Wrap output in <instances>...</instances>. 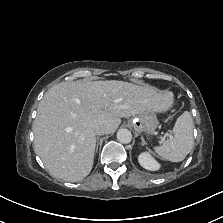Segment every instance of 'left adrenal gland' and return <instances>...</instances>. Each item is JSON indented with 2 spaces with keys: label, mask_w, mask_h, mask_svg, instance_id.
Returning a JSON list of instances; mask_svg holds the SVG:
<instances>
[{
  "label": "left adrenal gland",
  "mask_w": 223,
  "mask_h": 223,
  "mask_svg": "<svg viewBox=\"0 0 223 223\" xmlns=\"http://www.w3.org/2000/svg\"><path fill=\"white\" fill-rule=\"evenodd\" d=\"M141 140H142V145H146L147 144L143 137H141Z\"/></svg>",
  "instance_id": "1"
}]
</instances>
